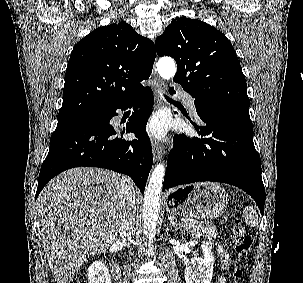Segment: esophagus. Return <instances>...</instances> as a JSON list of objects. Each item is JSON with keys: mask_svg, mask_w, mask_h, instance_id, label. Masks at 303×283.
Wrapping results in <instances>:
<instances>
[{"mask_svg": "<svg viewBox=\"0 0 303 283\" xmlns=\"http://www.w3.org/2000/svg\"><path fill=\"white\" fill-rule=\"evenodd\" d=\"M152 76L154 81L153 90L155 95V107L158 108L162 104L161 93L164 91V83L159 78L155 67L153 68ZM152 149H153V157L155 161H158L160 158L163 157L164 153L156 141L152 143Z\"/></svg>", "mask_w": 303, "mask_h": 283, "instance_id": "esophagus-1", "label": "esophagus"}]
</instances>
